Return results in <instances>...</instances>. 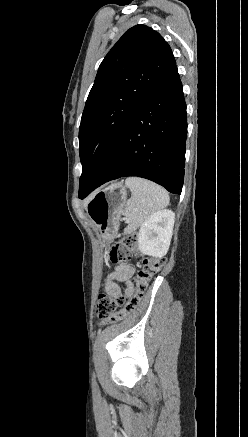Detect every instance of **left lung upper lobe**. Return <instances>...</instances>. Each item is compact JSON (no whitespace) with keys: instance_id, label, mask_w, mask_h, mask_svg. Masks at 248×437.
<instances>
[{"instance_id":"obj_1","label":"left lung upper lobe","mask_w":248,"mask_h":437,"mask_svg":"<svg viewBox=\"0 0 248 437\" xmlns=\"http://www.w3.org/2000/svg\"><path fill=\"white\" fill-rule=\"evenodd\" d=\"M175 64L169 44L145 25L127 30L105 56L81 118L79 197L101 172L132 114Z\"/></svg>"}]
</instances>
